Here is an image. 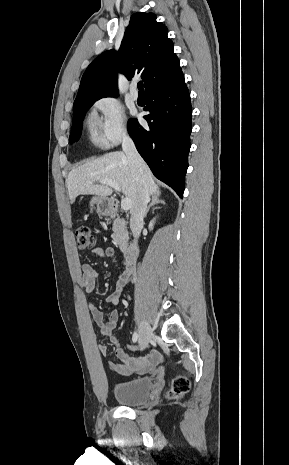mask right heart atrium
<instances>
[{"instance_id": "1", "label": "right heart atrium", "mask_w": 289, "mask_h": 465, "mask_svg": "<svg viewBox=\"0 0 289 465\" xmlns=\"http://www.w3.org/2000/svg\"><path fill=\"white\" fill-rule=\"evenodd\" d=\"M95 107L101 113L100 131L108 145H116L128 134L127 119L121 103L112 96L98 99Z\"/></svg>"}]
</instances>
